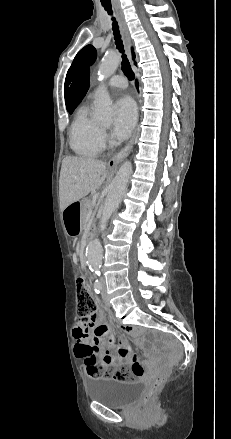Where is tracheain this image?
I'll return each mask as SVG.
<instances>
[{
	"label": "trachea",
	"instance_id": "trachea-1",
	"mask_svg": "<svg viewBox=\"0 0 231 439\" xmlns=\"http://www.w3.org/2000/svg\"><path fill=\"white\" fill-rule=\"evenodd\" d=\"M102 6L108 12L109 15L113 14L112 6L110 3L102 2ZM112 20H113L112 30H113V35H114V39H115V44H116L117 49L122 53V63H121L122 71H123L124 75L129 80H133L134 79V72L132 71L130 63H129L126 55L124 54V46L122 44L118 23L115 20V18H112Z\"/></svg>",
	"mask_w": 231,
	"mask_h": 439
}]
</instances>
